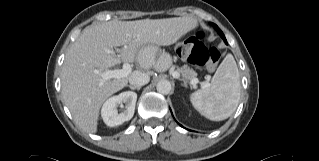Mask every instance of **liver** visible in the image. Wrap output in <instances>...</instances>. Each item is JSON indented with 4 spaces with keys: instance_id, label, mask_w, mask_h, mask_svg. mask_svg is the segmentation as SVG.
<instances>
[{
    "instance_id": "obj_1",
    "label": "liver",
    "mask_w": 319,
    "mask_h": 161,
    "mask_svg": "<svg viewBox=\"0 0 319 161\" xmlns=\"http://www.w3.org/2000/svg\"><path fill=\"white\" fill-rule=\"evenodd\" d=\"M196 26L195 18L174 17L112 20L86 27L66 53L61 74L63 100L76 124L86 132L96 133L102 104L124 88L130 77L103 81L95 70L104 72L122 61L137 60L144 69L155 66L161 71L153 62L139 60V50L148 44H174ZM117 46H122L118 55L113 50Z\"/></svg>"
}]
</instances>
